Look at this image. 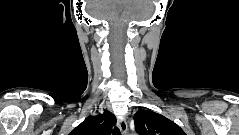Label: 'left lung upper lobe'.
<instances>
[{
  "instance_id": "left-lung-upper-lobe-1",
  "label": "left lung upper lobe",
  "mask_w": 239,
  "mask_h": 135,
  "mask_svg": "<svg viewBox=\"0 0 239 135\" xmlns=\"http://www.w3.org/2000/svg\"><path fill=\"white\" fill-rule=\"evenodd\" d=\"M134 123L139 135H186L173 121L150 110L136 112Z\"/></svg>"
}]
</instances>
